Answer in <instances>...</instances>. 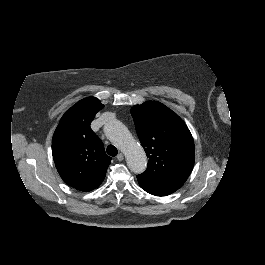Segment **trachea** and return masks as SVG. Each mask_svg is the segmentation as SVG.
Returning <instances> with one entry per match:
<instances>
[{
    "mask_svg": "<svg viewBox=\"0 0 265 265\" xmlns=\"http://www.w3.org/2000/svg\"><path fill=\"white\" fill-rule=\"evenodd\" d=\"M107 154L114 157L118 154V150L115 146L109 145L107 147Z\"/></svg>",
    "mask_w": 265,
    "mask_h": 265,
    "instance_id": "obj_1",
    "label": "trachea"
}]
</instances>
